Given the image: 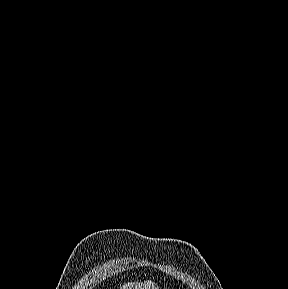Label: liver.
Returning <instances> with one entry per match:
<instances>
[{
  "mask_svg": "<svg viewBox=\"0 0 288 289\" xmlns=\"http://www.w3.org/2000/svg\"><path fill=\"white\" fill-rule=\"evenodd\" d=\"M121 289H159L157 285L154 284V282L147 280L142 283L138 282H128L125 283Z\"/></svg>",
  "mask_w": 288,
  "mask_h": 289,
  "instance_id": "1",
  "label": "liver"
}]
</instances>
